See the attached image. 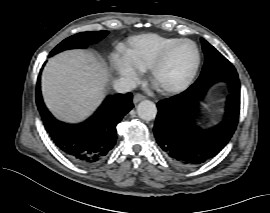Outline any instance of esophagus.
Masks as SVG:
<instances>
[{
    "label": "esophagus",
    "mask_w": 270,
    "mask_h": 213,
    "mask_svg": "<svg viewBox=\"0 0 270 213\" xmlns=\"http://www.w3.org/2000/svg\"><path fill=\"white\" fill-rule=\"evenodd\" d=\"M145 98H146V97H145L144 95H142V94H136V95H134V97H133V103H134V104H137L138 102L144 100Z\"/></svg>",
    "instance_id": "1"
}]
</instances>
